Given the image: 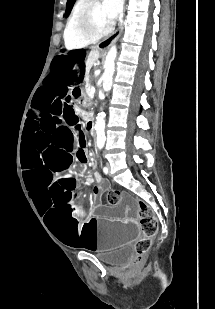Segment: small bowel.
Returning <instances> with one entry per match:
<instances>
[{"instance_id": "obj_1", "label": "small bowel", "mask_w": 215, "mask_h": 309, "mask_svg": "<svg viewBox=\"0 0 215 309\" xmlns=\"http://www.w3.org/2000/svg\"><path fill=\"white\" fill-rule=\"evenodd\" d=\"M101 192H102V188L100 186H96L92 189L91 194H92L94 200H97L100 197Z\"/></svg>"}]
</instances>
